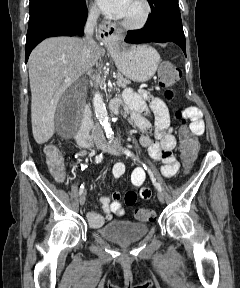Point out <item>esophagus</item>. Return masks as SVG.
<instances>
[{
  "label": "esophagus",
  "mask_w": 240,
  "mask_h": 288,
  "mask_svg": "<svg viewBox=\"0 0 240 288\" xmlns=\"http://www.w3.org/2000/svg\"><path fill=\"white\" fill-rule=\"evenodd\" d=\"M99 38L105 45H112L115 42V34L118 33L114 23H103L99 26Z\"/></svg>",
  "instance_id": "1"
}]
</instances>
